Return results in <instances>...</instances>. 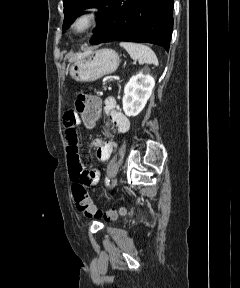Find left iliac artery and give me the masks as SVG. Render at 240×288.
Masks as SVG:
<instances>
[{
	"instance_id": "44dca946",
	"label": "left iliac artery",
	"mask_w": 240,
	"mask_h": 288,
	"mask_svg": "<svg viewBox=\"0 0 240 288\" xmlns=\"http://www.w3.org/2000/svg\"><path fill=\"white\" fill-rule=\"evenodd\" d=\"M109 182H110L109 178H108V177H106V178H105V184H106V186H108V185H109Z\"/></svg>"
}]
</instances>
